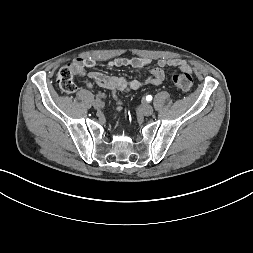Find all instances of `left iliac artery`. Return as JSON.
Here are the masks:
<instances>
[{"label": "left iliac artery", "instance_id": "1", "mask_svg": "<svg viewBox=\"0 0 253 253\" xmlns=\"http://www.w3.org/2000/svg\"><path fill=\"white\" fill-rule=\"evenodd\" d=\"M146 100H147V101H151V100H152V96H151V95H148V96L146 97Z\"/></svg>", "mask_w": 253, "mask_h": 253}]
</instances>
